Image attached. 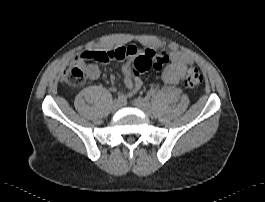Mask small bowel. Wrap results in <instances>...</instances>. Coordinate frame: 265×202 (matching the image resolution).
<instances>
[{
  "instance_id": "1",
  "label": "small bowel",
  "mask_w": 265,
  "mask_h": 202,
  "mask_svg": "<svg viewBox=\"0 0 265 202\" xmlns=\"http://www.w3.org/2000/svg\"><path fill=\"white\" fill-rule=\"evenodd\" d=\"M118 49L122 50L126 54V57L124 58L126 59V62L122 66V72L124 75V84L128 89V95H133L134 93L141 90L144 84L141 78L134 76L131 69L133 59L137 54V49L133 46H126ZM94 52L104 53L106 51H94ZM81 53L82 52L78 53L75 56L74 62L82 65L85 76L89 80L98 79L100 76V71L98 66L93 63H88V61H84L81 57ZM169 58H170V63L167 65V67L165 68L162 74V80L166 84L175 85L184 79L187 67L189 65H193V59L189 54L182 51H172L169 55ZM111 90L115 91L116 88L112 86Z\"/></svg>"
}]
</instances>
